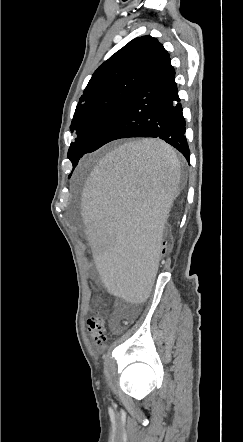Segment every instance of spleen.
<instances>
[{"label":"spleen","instance_id":"spleen-1","mask_svg":"<svg viewBox=\"0 0 243 442\" xmlns=\"http://www.w3.org/2000/svg\"><path fill=\"white\" fill-rule=\"evenodd\" d=\"M180 164L175 151L162 141L143 139L109 153L97 172H89L82 207L87 217L85 240L108 280L110 296L127 307H140L150 296L158 273L164 219L173 209ZM159 192V193H145Z\"/></svg>","mask_w":243,"mask_h":442}]
</instances>
